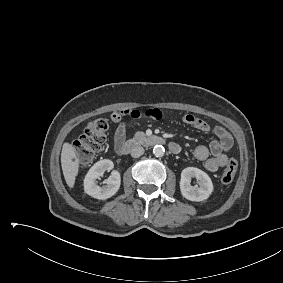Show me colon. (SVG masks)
Returning a JSON list of instances; mask_svg holds the SVG:
<instances>
[{
	"label": "colon",
	"instance_id": "obj_1",
	"mask_svg": "<svg viewBox=\"0 0 283 283\" xmlns=\"http://www.w3.org/2000/svg\"><path fill=\"white\" fill-rule=\"evenodd\" d=\"M109 122L106 119H96L88 123L83 133L74 142L77 158L81 163L89 162L101 150L106 142ZM238 168L235 159H229L222 174L221 182L229 184L234 179Z\"/></svg>",
	"mask_w": 283,
	"mask_h": 283
}]
</instances>
